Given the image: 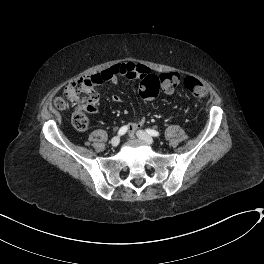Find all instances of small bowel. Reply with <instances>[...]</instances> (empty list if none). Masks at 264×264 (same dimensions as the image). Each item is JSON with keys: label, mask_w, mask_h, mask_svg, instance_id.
I'll return each mask as SVG.
<instances>
[{"label": "small bowel", "mask_w": 264, "mask_h": 264, "mask_svg": "<svg viewBox=\"0 0 264 264\" xmlns=\"http://www.w3.org/2000/svg\"><path fill=\"white\" fill-rule=\"evenodd\" d=\"M118 66H124L126 69V73L123 74L127 79L134 81H143L148 76L152 75L151 70L148 66L143 64H135V63H125ZM114 67L105 69L101 72L93 74L88 80L95 84H102L105 82H112L113 84H118V74L115 72ZM111 98L114 102L120 103L121 98L117 94H112ZM143 124V120L139 119L129 125V128L132 132H135L139 129Z\"/></svg>", "instance_id": "c3829d8e"}]
</instances>
